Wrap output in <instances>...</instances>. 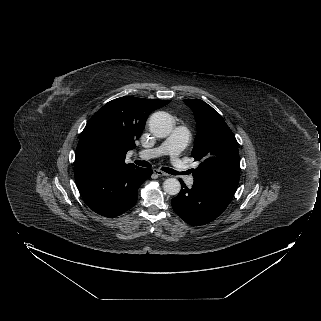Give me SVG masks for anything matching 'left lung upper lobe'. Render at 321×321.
<instances>
[{
    "label": "left lung upper lobe",
    "instance_id": "5c2ea615",
    "mask_svg": "<svg viewBox=\"0 0 321 321\" xmlns=\"http://www.w3.org/2000/svg\"><path fill=\"white\" fill-rule=\"evenodd\" d=\"M194 112L197 137L192 156L200 165L194 179L210 177L237 178L240 174L238 143L221 115L199 99H185Z\"/></svg>",
    "mask_w": 321,
    "mask_h": 321
}]
</instances>
